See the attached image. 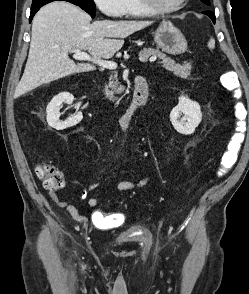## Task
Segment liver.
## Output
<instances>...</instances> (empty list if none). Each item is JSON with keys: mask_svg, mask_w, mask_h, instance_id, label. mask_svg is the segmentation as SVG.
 Listing matches in <instances>:
<instances>
[{"mask_svg": "<svg viewBox=\"0 0 249 294\" xmlns=\"http://www.w3.org/2000/svg\"><path fill=\"white\" fill-rule=\"evenodd\" d=\"M75 5L57 1L42 7L32 22L29 55L23 76L15 90L19 97L42 84L93 70L89 63L76 64L72 49L87 50L95 61L111 58L129 35L151 21H95Z\"/></svg>", "mask_w": 249, "mask_h": 294, "instance_id": "obj_1", "label": "liver"}]
</instances>
